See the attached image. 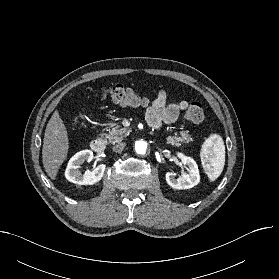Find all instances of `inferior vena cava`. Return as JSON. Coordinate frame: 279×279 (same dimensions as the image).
Returning a JSON list of instances; mask_svg holds the SVG:
<instances>
[{"label":"inferior vena cava","instance_id":"602c4592","mask_svg":"<svg viewBox=\"0 0 279 279\" xmlns=\"http://www.w3.org/2000/svg\"><path fill=\"white\" fill-rule=\"evenodd\" d=\"M125 143H118L116 144L114 147H113V151L114 152H118V153H121L123 151V149L125 148Z\"/></svg>","mask_w":279,"mask_h":279}]
</instances>
